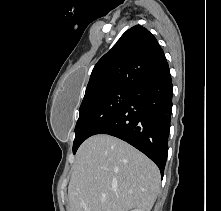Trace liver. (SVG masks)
Returning a JSON list of instances; mask_svg holds the SVG:
<instances>
[{
    "mask_svg": "<svg viewBox=\"0 0 221 211\" xmlns=\"http://www.w3.org/2000/svg\"><path fill=\"white\" fill-rule=\"evenodd\" d=\"M160 180L158 167L140 151L116 137L94 135L76 154L68 186L70 211H150Z\"/></svg>",
    "mask_w": 221,
    "mask_h": 211,
    "instance_id": "1",
    "label": "liver"
}]
</instances>
